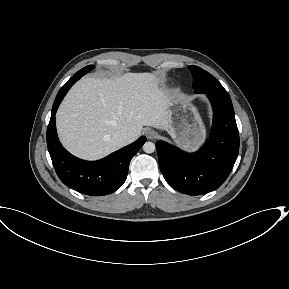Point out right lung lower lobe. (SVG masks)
<instances>
[{
  "mask_svg": "<svg viewBox=\"0 0 289 289\" xmlns=\"http://www.w3.org/2000/svg\"><path fill=\"white\" fill-rule=\"evenodd\" d=\"M83 74L76 73L59 90L47 128V146L55 171L68 187L86 195L103 196L119 189L125 182L132 157L145 143L140 137L134 143L98 161L78 159L66 151L57 136L55 114L62 99Z\"/></svg>",
  "mask_w": 289,
  "mask_h": 289,
  "instance_id": "98d812e1",
  "label": "right lung lower lobe"
}]
</instances>
